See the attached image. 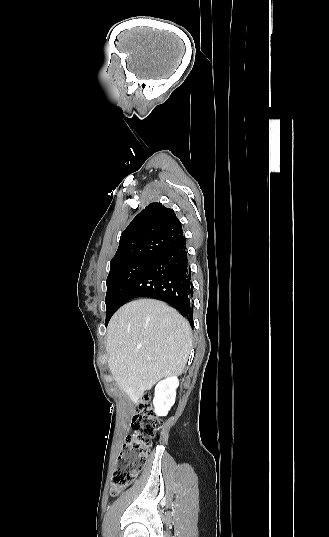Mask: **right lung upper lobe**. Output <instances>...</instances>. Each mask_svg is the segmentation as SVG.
I'll return each instance as SVG.
<instances>
[{
	"label": "right lung upper lobe",
	"instance_id": "1",
	"mask_svg": "<svg viewBox=\"0 0 329 537\" xmlns=\"http://www.w3.org/2000/svg\"><path fill=\"white\" fill-rule=\"evenodd\" d=\"M183 238V228L174 211L161 203H151L122 232L110 271L134 260H154Z\"/></svg>",
	"mask_w": 329,
	"mask_h": 537
}]
</instances>
